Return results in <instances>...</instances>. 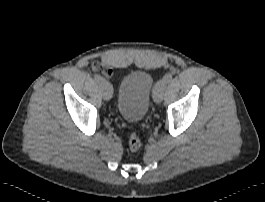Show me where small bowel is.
Instances as JSON below:
<instances>
[{
  "instance_id": "obj_1",
  "label": "small bowel",
  "mask_w": 265,
  "mask_h": 202,
  "mask_svg": "<svg viewBox=\"0 0 265 202\" xmlns=\"http://www.w3.org/2000/svg\"><path fill=\"white\" fill-rule=\"evenodd\" d=\"M93 66H94L95 69H100L101 68V66L99 64H97V63H94ZM102 70L107 76H111L112 73H113V71H112V69L110 67H102Z\"/></svg>"
}]
</instances>
